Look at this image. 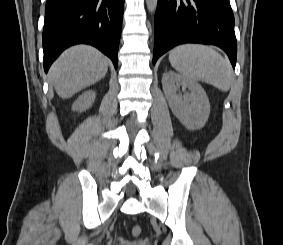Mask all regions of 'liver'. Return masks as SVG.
<instances>
[{
	"label": "liver",
	"mask_w": 283,
	"mask_h": 245,
	"mask_svg": "<svg viewBox=\"0 0 283 245\" xmlns=\"http://www.w3.org/2000/svg\"><path fill=\"white\" fill-rule=\"evenodd\" d=\"M108 65V58L94 47L77 45L67 49L53 63L49 79L59 97L68 99L101 80Z\"/></svg>",
	"instance_id": "obj_1"
}]
</instances>
